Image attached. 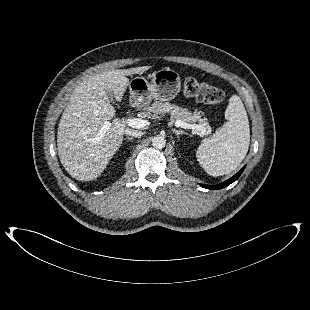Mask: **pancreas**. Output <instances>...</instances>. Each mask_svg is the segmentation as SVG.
<instances>
[{"instance_id": "obj_1", "label": "pancreas", "mask_w": 310, "mask_h": 310, "mask_svg": "<svg viewBox=\"0 0 310 310\" xmlns=\"http://www.w3.org/2000/svg\"><path fill=\"white\" fill-rule=\"evenodd\" d=\"M166 113L171 115V121L176 122L177 120L186 122L188 124L198 123L203 129V135L211 133V127L205 117H202L204 113L202 111H194L191 113L187 108H181L175 106L169 102L155 101L151 106L146 108L142 115L149 119H159Z\"/></svg>"}]
</instances>
